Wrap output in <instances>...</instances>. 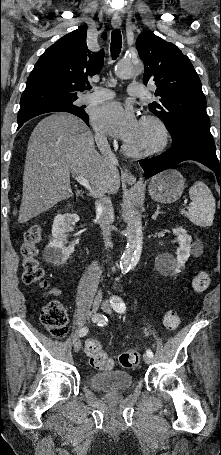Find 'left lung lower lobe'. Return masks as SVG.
<instances>
[{
    "instance_id": "left-lung-lower-lobe-1",
    "label": "left lung lower lobe",
    "mask_w": 221,
    "mask_h": 455,
    "mask_svg": "<svg viewBox=\"0 0 221 455\" xmlns=\"http://www.w3.org/2000/svg\"><path fill=\"white\" fill-rule=\"evenodd\" d=\"M198 161L215 172L221 187V154L220 160L216 155L215 143L210 132L188 130L173 140L172 147L150 159H143L140 164L145 177L151 176L186 161Z\"/></svg>"
}]
</instances>
